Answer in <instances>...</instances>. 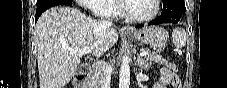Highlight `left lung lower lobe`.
Wrapping results in <instances>:
<instances>
[{"instance_id": "obj_1", "label": "left lung lower lobe", "mask_w": 227, "mask_h": 88, "mask_svg": "<svg viewBox=\"0 0 227 88\" xmlns=\"http://www.w3.org/2000/svg\"><path fill=\"white\" fill-rule=\"evenodd\" d=\"M185 11L184 0H163V12L161 13V16L148 23V25L177 23ZM142 26L144 25H137L138 28Z\"/></svg>"}]
</instances>
